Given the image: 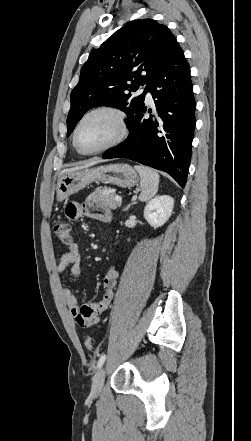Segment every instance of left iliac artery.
Masks as SVG:
<instances>
[{
    "mask_svg": "<svg viewBox=\"0 0 251 441\" xmlns=\"http://www.w3.org/2000/svg\"><path fill=\"white\" fill-rule=\"evenodd\" d=\"M105 359H106V355L103 354V355L99 358V360H98V363H97V367H98V368H100V367L104 364Z\"/></svg>",
    "mask_w": 251,
    "mask_h": 441,
    "instance_id": "44dca946",
    "label": "left iliac artery"
}]
</instances>
